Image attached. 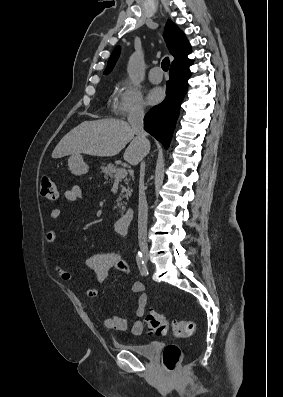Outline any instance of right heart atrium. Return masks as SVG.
<instances>
[{
	"label": "right heart atrium",
	"instance_id": "right-heart-atrium-1",
	"mask_svg": "<svg viewBox=\"0 0 283 397\" xmlns=\"http://www.w3.org/2000/svg\"><path fill=\"white\" fill-rule=\"evenodd\" d=\"M146 105L140 90L130 81L119 83L112 103V112L121 119H131L142 116Z\"/></svg>",
	"mask_w": 283,
	"mask_h": 397
}]
</instances>
